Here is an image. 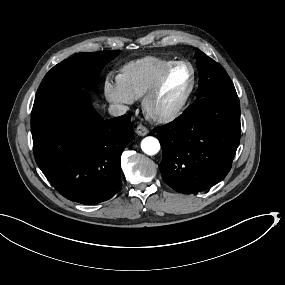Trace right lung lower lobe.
Listing matches in <instances>:
<instances>
[{
    "label": "right lung lower lobe",
    "instance_id": "right-lung-lower-lobe-1",
    "mask_svg": "<svg viewBox=\"0 0 285 285\" xmlns=\"http://www.w3.org/2000/svg\"><path fill=\"white\" fill-rule=\"evenodd\" d=\"M31 131L37 165L65 198L90 205L120 189L121 153L134 139L128 115L103 121L87 93L67 85L35 99Z\"/></svg>",
    "mask_w": 285,
    "mask_h": 285
}]
</instances>
